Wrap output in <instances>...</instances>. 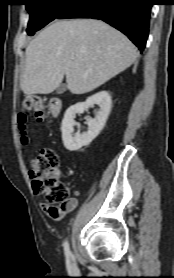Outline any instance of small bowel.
Wrapping results in <instances>:
<instances>
[{"instance_id":"1","label":"small bowel","mask_w":174,"mask_h":278,"mask_svg":"<svg viewBox=\"0 0 174 278\" xmlns=\"http://www.w3.org/2000/svg\"><path fill=\"white\" fill-rule=\"evenodd\" d=\"M78 194L76 193V196ZM78 198L72 197L67 200L65 204L54 206L48 203H41L42 210L48 215L50 218L54 220H60L68 213L72 212L78 206Z\"/></svg>"}]
</instances>
